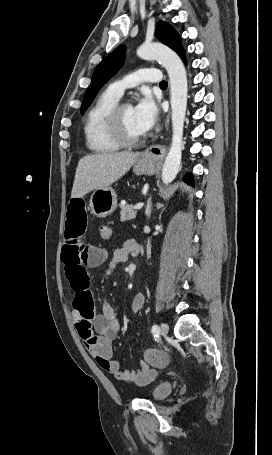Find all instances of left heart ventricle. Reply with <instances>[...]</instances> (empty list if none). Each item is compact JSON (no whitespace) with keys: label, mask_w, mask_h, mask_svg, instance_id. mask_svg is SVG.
<instances>
[{"label":"left heart ventricle","mask_w":272,"mask_h":455,"mask_svg":"<svg viewBox=\"0 0 272 455\" xmlns=\"http://www.w3.org/2000/svg\"><path fill=\"white\" fill-rule=\"evenodd\" d=\"M122 122L124 130L129 137L135 138L143 135L137 126L134 108L132 106L129 105L123 109Z\"/></svg>","instance_id":"left-heart-ventricle-1"}]
</instances>
